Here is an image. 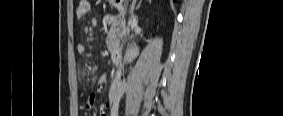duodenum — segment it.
Listing matches in <instances>:
<instances>
[{"label": "duodenum", "instance_id": "obj_1", "mask_svg": "<svg viewBox=\"0 0 283 116\" xmlns=\"http://www.w3.org/2000/svg\"><path fill=\"white\" fill-rule=\"evenodd\" d=\"M116 9L119 11V12H123L124 11V7L123 5H117L116 6ZM112 59L115 63L117 64H123V63H126L127 60H128V57H127V53H125L123 50L121 49H115L113 52H112ZM125 85V82L119 77V78H115L113 83H112V91L115 90V88L117 87H123Z\"/></svg>", "mask_w": 283, "mask_h": 116}]
</instances>
